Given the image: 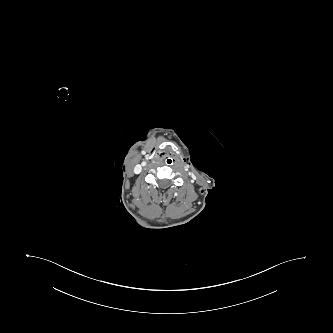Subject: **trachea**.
<instances>
[{
  "label": "trachea",
  "mask_w": 333,
  "mask_h": 333,
  "mask_svg": "<svg viewBox=\"0 0 333 333\" xmlns=\"http://www.w3.org/2000/svg\"><path fill=\"white\" fill-rule=\"evenodd\" d=\"M161 163H162L165 167H170V166L174 163V158H173L170 154H165V155L161 158Z\"/></svg>",
  "instance_id": "obj_1"
}]
</instances>
